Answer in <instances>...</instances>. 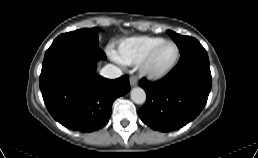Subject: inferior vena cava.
Listing matches in <instances>:
<instances>
[{
  "instance_id": "1",
  "label": "inferior vena cava",
  "mask_w": 258,
  "mask_h": 158,
  "mask_svg": "<svg viewBox=\"0 0 258 158\" xmlns=\"http://www.w3.org/2000/svg\"><path fill=\"white\" fill-rule=\"evenodd\" d=\"M100 75L103 76L104 78L116 79L122 75V71L120 68L112 64H107L101 69Z\"/></svg>"
}]
</instances>
